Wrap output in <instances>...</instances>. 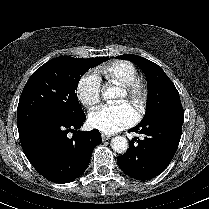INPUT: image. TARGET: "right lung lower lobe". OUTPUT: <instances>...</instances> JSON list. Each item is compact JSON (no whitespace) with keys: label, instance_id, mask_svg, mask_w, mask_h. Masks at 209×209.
<instances>
[{"label":"right lung lower lobe","instance_id":"obj_1","mask_svg":"<svg viewBox=\"0 0 209 209\" xmlns=\"http://www.w3.org/2000/svg\"><path fill=\"white\" fill-rule=\"evenodd\" d=\"M86 116L49 118L34 122L19 131L24 154L32 166L47 180L69 183L87 168L95 146L102 142L98 130L76 132ZM73 132L69 138L68 133Z\"/></svg>","mask_w":209,"mask_h":209}]
</instances>
